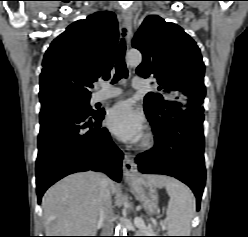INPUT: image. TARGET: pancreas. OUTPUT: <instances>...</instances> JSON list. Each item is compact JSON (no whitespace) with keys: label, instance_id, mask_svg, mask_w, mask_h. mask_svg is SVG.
<instances>
[{"label":"pancreas","instance_id":"cf45deb5","mask_svg":"<svg viewBox=\"0 0 248 237\" xmlns=\"http://www.w3.org/2000/svg\"><path fill=\"white\" fill-rule=\"evenodd\" d=\"M162 228L165 227V225L162 223ZM159 230L154 231V230H148L147 228H143V227H139V230L137 231V233H139V235L142 236H148V235H155L154 233H157Z\"/></svg>","mask_w":248,"mask_h":237}]
</instances>
